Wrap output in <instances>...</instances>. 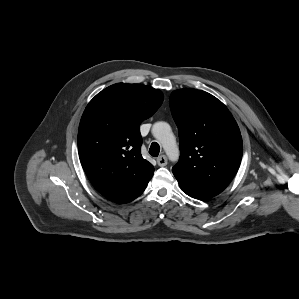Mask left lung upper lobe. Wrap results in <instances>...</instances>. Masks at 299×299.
I'll return each instance as SVG.
<instances>
[{
	"mask_svg": "<svg viewBox=\"0 0 299 299\" xmlns=\"http://www.w3.org/2000/svg\"><path fill=\"white\" fill-rule=\"evenodd\" d=\"M180 159L172 172L191 197L210 199L234 178L242 159V137L227 107L211 94L185 88L172 92Z\"/></svg>",
	"mask_w": 299,
	"mask_h": 299,
	"instance_id": "obj_1",
	"label": "left lung upper lobe"
}]
</instances>
